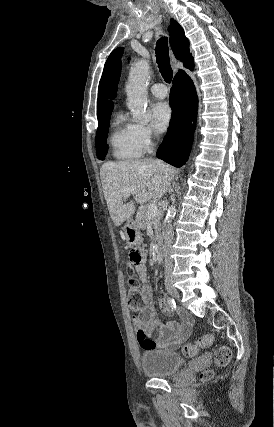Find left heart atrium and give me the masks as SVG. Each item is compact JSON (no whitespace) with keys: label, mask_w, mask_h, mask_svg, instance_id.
Returning <instances> with one entry per match:
<instances>
[{"label":"left heart atrium","mask_w":274,"mask_h":427,"mask_svg":"<svg viewBox=\"0 0 274 427\" xmlns=\"http://www.w3.org/2000/svg\"><path fill=\"white\" fill-rule=\"evenodd\" d=\"M152 127L158 132L162 133L168 127L171 118L172 110L166 102H158L152 107Z\"/></svg>","instance_id":"1"}]
</instances>
